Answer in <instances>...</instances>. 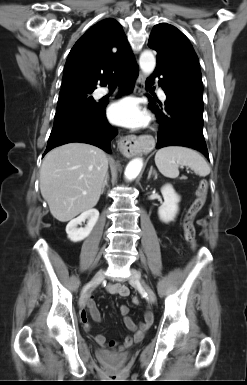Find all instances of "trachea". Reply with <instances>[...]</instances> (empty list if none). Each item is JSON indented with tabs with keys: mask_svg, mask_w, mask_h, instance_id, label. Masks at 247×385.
Here are the masks:
<instances>
[{
	"mask_svg": "<svg viewBox=\"0 0 247 385\" xmlns=\"http://www.w3.org/2000/svg\"><path fill=\"white\" fill-rule=\"evenodd\" d=\"M118 82L116 80H111L109 84L116 85Z\"/></svg>",
	"mask_w": 247,
	"mask_h": 385,
	"instance_id": "1",
	"label": "trachea"
}]
</instances>
